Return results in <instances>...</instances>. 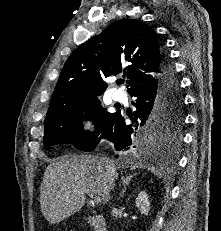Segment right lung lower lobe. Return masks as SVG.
<instances>
[{"mask_svg":"<svg viewBox=\"0 0 221 231\" xmlns=\"http://www.w3.org/2000/svg\"><path fill=\"white\" fill-rule=\"evenodd\" d=\"M129 94L137 98V102L135 103L137 110L134 112V118H132L134 123L132 125H126L124 117L121 116L120 112H116L105 130L101 132L102 135L99 138L97 136L92 137L77 147L78 149L92 151L101 138H106L113 142L117 150L131 149L139 156L145 158H151L166 151L164 144L149 139L143 130L161 95L179 100L183 105V97L175 69L164 50L161 60V75L159 78L154 83L136 89Z\"/></svg>","mask_w":221,"mask_h":231,"instance_id":"98d812e1","label":"right lung lower lobe"}]
</instances>
